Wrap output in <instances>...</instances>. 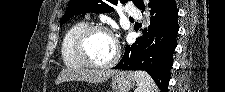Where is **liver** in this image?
Instances as JSON below:
<instances>
[{
	"label": "liver",
	"mask_w": 225,
	"mask_h": 92,
	"mask_svg": "<svg viewBox=\"0 0 225 92\" xmlns=\"http://www.w3.org/2000/svg\"><path fill=\"white\" fill-rule=\"evenodd\" d=\"M116 73L114 70L104 69H63L55 80L58 85L68 81H83L88 83L99 84L108 80Z\"/></svg>",
	"instance_id": "1"
}]
</instances>
